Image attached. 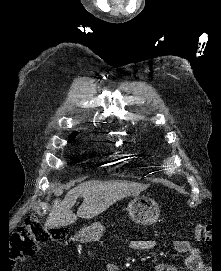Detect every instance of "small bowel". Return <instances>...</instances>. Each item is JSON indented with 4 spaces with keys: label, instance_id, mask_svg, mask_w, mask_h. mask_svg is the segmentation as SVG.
Returning a JSON list of instances; mask_svg holds the SVG:
<instances>
[{
    "label": "small bowel",
    "instance_id": "c3829d8e",
    "mask_svg": "<svg viewBox=\"0 0 221 271\" xmlns=\"http://www.w3.org/2000/svg\"><path fill=\"white\" fill-rule=\"evenodd\" d=\"M155 241L150 239L132 240L129 243L130 249L134 251H148L153 249ZM175 250L179 253H185V265L190 271H204V265L200 256L199 248L192 246L187 240L178 239L173 241ZM107 271H120L115 265H108ZM153 271H179V269L170 264H156Z\"/></svg>",
    "mask_w": 221,
    "mask_h": 271
}]
</instances>
